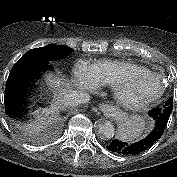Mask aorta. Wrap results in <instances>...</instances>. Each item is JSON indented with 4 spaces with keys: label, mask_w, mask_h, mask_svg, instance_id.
<instances>
[{
    "label": "aorta",
    "mask_w": 177,
    "mask_h": 177,
    "mask_svg": "<svg viewBox=\"0 0 177 177\" xmlns=\"http://www.w3.org/2000/svg\"><path fill=\"white\" fill-rule=\"evenodd\" d=\"M97 127H98V133L102 138L111 139L114 137L115 128L110 121L108 120L101 121Z\"/></svg>",
    "instance_id": "1"
}]
</instances>
